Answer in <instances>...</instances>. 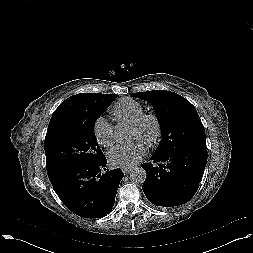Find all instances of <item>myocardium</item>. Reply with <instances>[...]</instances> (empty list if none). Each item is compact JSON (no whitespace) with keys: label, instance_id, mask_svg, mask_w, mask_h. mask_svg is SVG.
I'll return each instance as SVG.
<instances>
[{"label":"myocardium","instance_id":"obj_1","mask_svg":"<svg viewBox=\"0 0 253 253\" xmlns=\"http://www.w3.org/2000/svg\"><path fill=\"white\" fill-rule=\"evenodd\" d=\"M148 121H151L154 124V134L146 144L149 147H154L158 144L162 135V124L159 117L155 113H142L138 118L130 123V127L140 129Z\"/></svg>","mask_w":253,"mask_h":253}]
</instances>
